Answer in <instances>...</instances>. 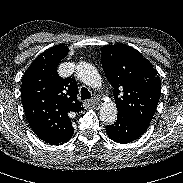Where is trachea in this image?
<instances>
[{
	"mask_svg": "<svg viewBox=\"0 0 183 183\" xmlns=\"http://www.w3.org/2000/svg\"><path fill=\"white\" fill-rule=\"evenodd\" d=\"M80 92H81V100H86L91 98V94L87 88L82 87Z\"/></svg>",
	"mask_w": 183,
	"mask_h": 183,
	"instance_id": "3493384b",
	"label": "trachea"
}]
</instances>
